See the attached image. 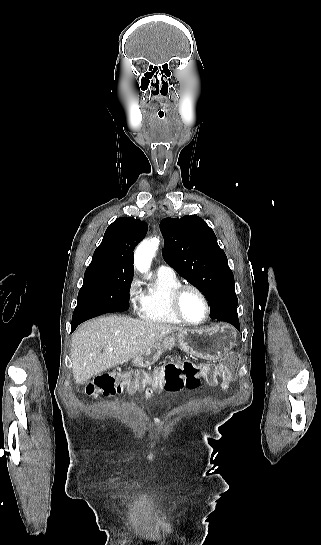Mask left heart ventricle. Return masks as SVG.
Masks as SVG:
<instances>
[{"instance_id":"obj_1","label":"left heart ventricle","mask_w":321,"mask_h":545,"mask_svg":"<svg viewBox=\"0 0 321 545\" xmlns=\"http://www.w3.org/2000/svg\"><path fill=\"white\" fill-rule=\"evenodd\" d=\"M182 317L192 323L199 322L205 315V307L200 296L193 290H186L179 299Z\"/></svg>"}]
</instances>
